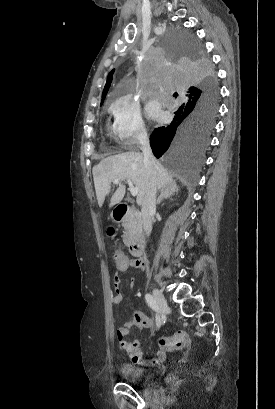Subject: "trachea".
<instances>
[{
  "label": "trachea",
  "instance_id": "3493384b",
  "mask_svg": "<svg viewBox=\"0 0 275 409\" xmlns=\"http://www.w3.org/2000/svg\"><path fill=\"white\" fill-rule=\"evenodd\" d=\"M174 96L176 97V96H177V94L175 93V94H174Z\"/></svg>",
  "mask_w": 275,
  "mask_h": 409
}]
</instances>
